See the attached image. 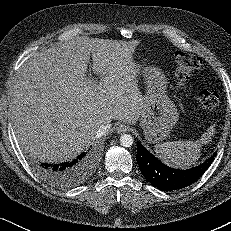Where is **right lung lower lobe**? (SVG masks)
Segmentation results:
<instances>
[{
	"instance_id": "1",
	"label": "right lung lower lobe",
	"mask_w": 231,
	"mask_h": 231,
	"mask_svg": "<svg viewBox=\"0 0 231 231\" xmlns=\"http://www.w3.org/2000/svg\"><path fill=\"white\" fill-rule=\"evenodd\" d=\"M98 159L95 151L80 154L76 159L60 164L42 163L36 167L40 176L60 188L80 185L94 171Z\"/></svg>"
}]
</instances>
